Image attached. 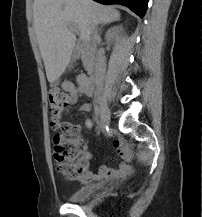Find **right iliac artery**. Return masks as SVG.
Segmentation results:
<instances>
[{
	"label": "right iliac artery",
	"instance_id": "1",
	"mask_svg": "<svg viewBox=\"0 0 202 217\" xmlns=\"http://www.w3.org/2000/svg\"><path fill=\"white\" fill-rule=\"evenodd\" d=\"M95 112H96V116H97V124H99V115H100V109L97 105H95Z\"/></svg>",
	"mask_w": 202,
	"mask_h": 217
}]
</instances>
